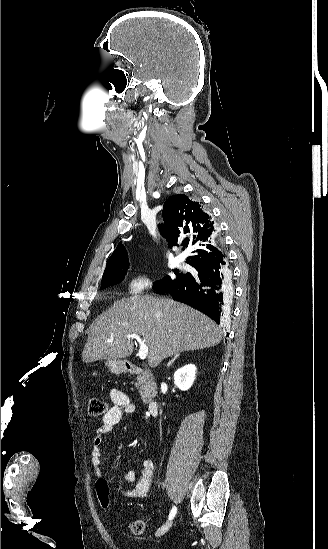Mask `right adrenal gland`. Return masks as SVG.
Returning a JSON list of instances; mask_svg holds the SVG:
<instances>
[{
	"label": "right adrenal gland",
	"mask_w": 328,
	"mask_h": 549,
	"mask_svg": "<svg viewBox=\"0 0 328 549\" xmlns=\"http://www.w3.org/2000/svg\"><path fill=\"white\" fill-rule=\"evenodd\" d=\"M174 359H177V355H176V357H174ZM174 359H173V361H174Z\"/></svg>",
	"instance_id": "2a0ac1e0"
}]
</instances>
